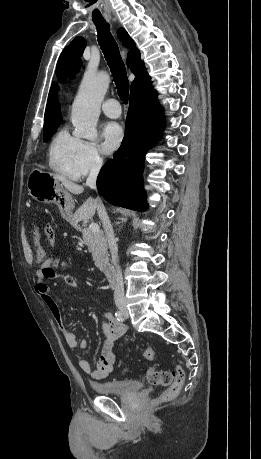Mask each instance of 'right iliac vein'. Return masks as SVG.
Returning a JSON list of instances; mask_svg holds the SVG:
<instances>
[{"mask_svg": "<svg viewBox=\"0 0 261 459\" xmlns=\"http://www.w3.org/2000/svg\"><path fill=\"white\" fill-rule=\"evenodd\" d=\"M119 309H121L122 311H124L126 309L125 307V304L121 303L118 305Z\"/></svg>", "mask_w": 261, "mask_h": 459, "instance_id": "right-iliac-vein-1", "label": "right iliac vein"}]
</instances>
